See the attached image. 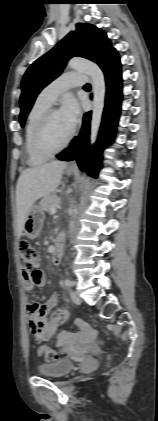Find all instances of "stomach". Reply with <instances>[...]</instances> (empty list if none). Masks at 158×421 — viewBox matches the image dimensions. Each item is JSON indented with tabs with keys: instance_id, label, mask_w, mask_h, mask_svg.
Listing matches in <instances>:
<instances>
[{
	"instance_id": "stomach-1",
	"label": "stomach",
	"mask_w": 158,
	"mask_h": 421,
	"mask_svg": "<svg viewBox=\"0 0 158 421\" xmlns=\"http://www.w3.org/2000/svg\"><path fill=\"white\" fill-rule=\"evenodd\" d=\"M73 173H74V170L69 169V168L66 169L67 175H71ZM43 223H44L43 209L39 206H35V205L32 206L30 210L28 211L25 221H24L25 235L29 239H35L41 232Z\"/></svg>"
}]
</instances>
